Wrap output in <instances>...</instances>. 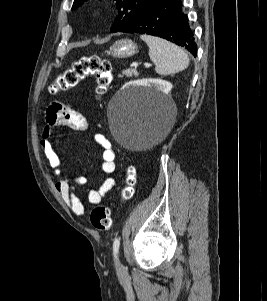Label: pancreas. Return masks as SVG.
Listing matches in <instances>:
<instances>
[{"mask_svg": "<svg viewBox=\"0 0 267 301\" xmlns=\"http://www.w3.org/2000/svg\"><path fill=\"white\" fill-rule=\"evenodd\" d=\"M132 77V76H138V72L135 69H127L122 71V73L119 75V77Z\"/></svg>", "mask_w": 267, "mask_h": 301, "instance_id": "cf45deb5", "label": "pancreas"}]
</instances>
